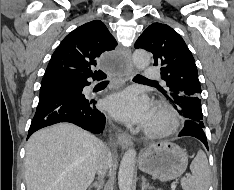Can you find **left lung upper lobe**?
<instances>
[{
  "mask_svg": "<svg viewBox=\"0 0 234 190\" xmlns=\"http://www.w3.org/2000/svg\"><path fill=\"white\" fill-rule=\"evenodd\" d=\"M135 48L153 53L161 67L166 88H159L186 119L203 124L201 86L195 60L182 37L170 26L151 24L138 38Z\"/></svg>",
  "mask_w": 234,
  "mask_h": 190,
  "instance_id": "left-lung-upper-lobe-1",
  "label": "left lung upper lobe"
}]
</instances>
